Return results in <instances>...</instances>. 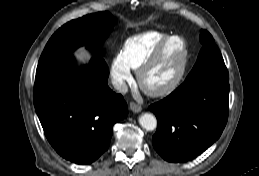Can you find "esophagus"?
I'll return each mask as SVG.
<instances>
[{"instance_id":"34e87169","label":"esophagus","mask_w":259,"mask_h":176,"mask_svg":"<svg viewBox=\"0 0 259 176\" xmlns=\"http://www.w3.org/2000/svg\"><path fill=\"white\" fill-rule=\"evenodd\" d=\"M129 107L134 113H139L142 110L141 106L135 102H131Z\"/></svg>"}]
</instances>
